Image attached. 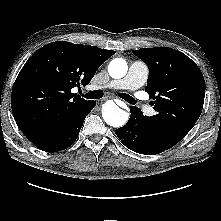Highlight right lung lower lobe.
Listing matches in <instances>:
<instances>
[{
    "label": "right lung lower lobe",
    "instance_id": "right-lung-lower-lobe-1",
    "mask_svg": "<svg viewBox=\"0 0 221 221\" xmlns=\"http://www.w3.org/2000/svg\"><path fill=\"white\" fill-rule=\"evenodd\" d=\"M95 105L96 102L91 101L80 114L33 143L39 149L48 152L61 151L68 148L78 137L85 117Z\"/></svg>",
    "mask_w": 221,
    "mask_h": 221
}]
</instances>
